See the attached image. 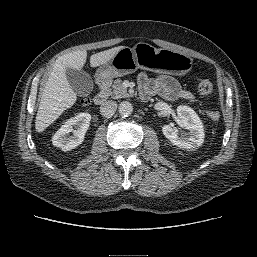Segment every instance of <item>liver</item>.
Returning a JSON list of instances; mask_svg holds the SVG:
<instances>
[{
	"label": "liver",
	"instance_id": "liver-1",
	"mask_svg": "<svg viewBox=\"0 0 257 257\" xmlns=\"http://www.w3.org/2000/svg\"><path fill=\"white\" fill-rule=\"evenodd\" d=\"M124 47L118 46L93 54L90 57V66L97 67L107 63ZM86 59L87 52L81 50L65 54L56 60L41 95L35 120L37 132L44 131L66 109L74 105L77 96L67 80L66 70L68 68L81 70Z\"/></svg>",
	"mask_w": 257,
	"mask_h": 257
}]
</instances>
